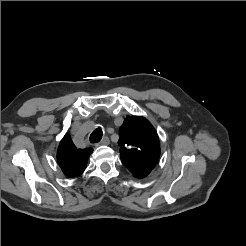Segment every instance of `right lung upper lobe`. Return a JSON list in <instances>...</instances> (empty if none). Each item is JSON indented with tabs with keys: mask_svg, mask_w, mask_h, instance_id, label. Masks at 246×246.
Here are the masks:
<instances>
[{
	"mask_svg": "<svg viewBox=\"0 0 246 246\" xmlns=\"http://www.w3.org/2000/svg\"><path fill=\"white\" fill-rule=\"evenodd\" d=\"M92 152V148L77 149L71 137L66 134L58 147L57 162L66 176L74 178L83 173Z\"/></svg>",
	"mask_w": 246,
	"mask_h": 246,
	"instance_id": "obj_1",
	"label": "right lung upper lobe"
}]
</instances>
